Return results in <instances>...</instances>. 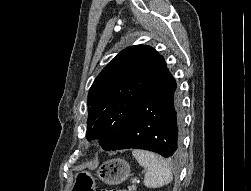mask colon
Wrapping results in <instances>:
<instances>
[{
  "label": "colon",
  "instance_id": "5ec220e1",
  "mask_svg": "<svg viewBox=\"0 0 251 191\" xmlns=\"http://www.w3.org/2000/svg\"><path fill=\"white\" fill-rule=\"evenodd\" d=\"M101 191H121L120 189H116V188H102ZM125 191V190H123Z\"/></svg>",
  "mask_w": 251,
  "mask_h": 191
}]
</instances>
